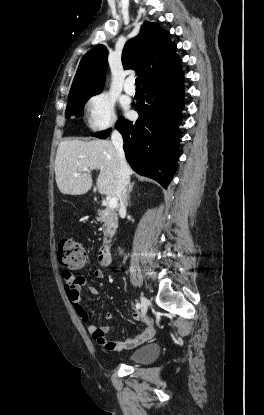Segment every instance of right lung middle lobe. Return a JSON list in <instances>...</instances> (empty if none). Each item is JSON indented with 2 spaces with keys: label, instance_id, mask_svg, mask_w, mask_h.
Returning <instances> with one entry per match:
<instances>
[{
  "label": "right lung middle lobe",
  "instance_id": "obj_1",
  "mask_svg": "<svg viewBox=\"0 0 264 415\" xmlns=\"http://www.w3.org/2000/svg\"><path fill=\"white\" fill-rule=\"evenodd\" d=\"M93 95L95 94L69 97L66 108V117L70 118L72 115H75L76 117L82 116L85 103Z\"/></svg>",
  "mask_w": 264,
  "mask_h": 415
}]
</instances>
